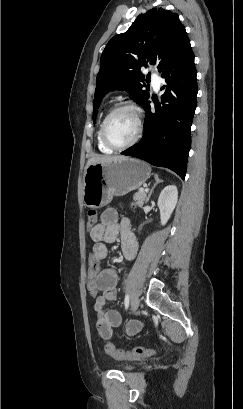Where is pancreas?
I'll return each mask as SVG.
<instances>
[{
	"instance_id": "pancreas-1",
	"label": "pancreas",
	"mask_w": 243,
	"mask_h": 409,
	"mask_svg": "<svg viewBox=\"0 0 243 409\" xmlns=\"http://www.w3.org/2000/svg\"><path fill=\"white\" fill-rule=\"evenodd\" d=\"M133 200L136 202L137 206L141 207L144 202L147 201L146 192L143 190H139L134 194Z\"/></svg>"
}]
</instances>
